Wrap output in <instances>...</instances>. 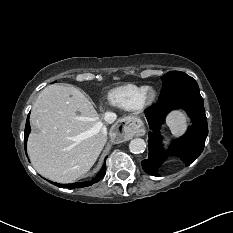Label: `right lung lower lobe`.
I'll return each mask as SVG.
<instances>
[{"label":"right lung lower lobe","mask_w":233,"mask_h":233,"mask_svg":"<svg viewBox=\"0 0 233 233\" xmlns=\"http://www.w3.org/2000/svg\"><path fill=\"white\" fill-rule=\"evenodd\" d=\"M30 131H31V128H30V124H29V115H28L26 126H25V131H24V147H25V150H26L27 138H28V135H29ZM105 173H106V164L103 165L101 171L97 174L95 179H93L92 181H89V182H76V183H73V184H59V183H53V182H51V183H53L54 185H56V186H58L60 188L85 187V186H90L93 183L98 182L105 175Z\"/></svg>","instance_id":"1"}]
</instances>
